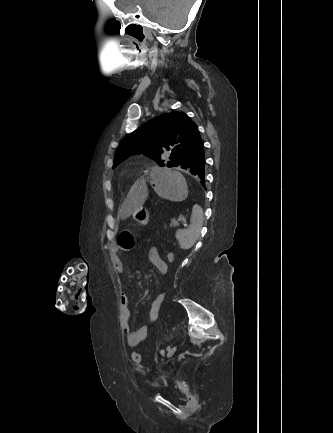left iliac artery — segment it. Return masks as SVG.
Returning <instances> with one entry per match:
<instances>
[{
  "label": "left iliac artery",
  "mask_w": 333,
  "mask_h": 433,
  "mask_svg": "<svg viewBox=\"0 0 333 433\" xmlns=\"http://www.w3.org/2000/svg\"><path fill=\"white\" fill-rule=\"evenodd\" d=\"M166 350L169 351V350H170V346H168V347L166 348ZM163 353H164V350L161 351V354H163Z\"/></svg>",
  "instance_id": "1"
}]
</instances>
